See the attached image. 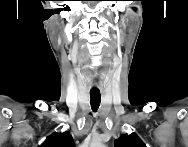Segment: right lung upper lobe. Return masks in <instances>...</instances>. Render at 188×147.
<instances>
[{"label":"right lung upper lobe","mask_w":188,"mask_h":147,"mask_svg":"<svg viewBox=\"0 0 188 147\" xmlns=\"http://www.w3.org/2000/svg\"><path fill=\"white\" fill-rule=\"evenodd\" d=\"M41 147H74L72 136L68 132L50 135Z\"/></svg>","instance_id":"1"}]
</instances>
